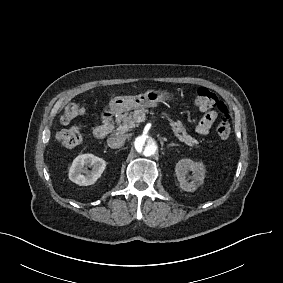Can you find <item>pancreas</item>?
<instances>
[{"mask_svg": "<svg viewBox=\"0 0 283 283\" xmlns=\"http://www.w3.org/2000/svg\"><path fill=\"white\" fill-rule=\"evenodd\" d=\"M145 112L147 110H135L131 113H124L121 115H118L116 117V124L117 129L115 130L116 134H124L130 129L134 128L136 124L139 122V119L145 115ZM166 115V114H164ZM170 122V126L172 127V130L174 132V135L181 141L187 144L188 146H193L195 144H198V141L187 134L185 127L183 126L181 121L174 122L170 118H168Z\"/></svg>", "mask_w": 283, "mask_h": 283, "instance_id": "obj_1", "label": "pancreas"}]
</instances>
